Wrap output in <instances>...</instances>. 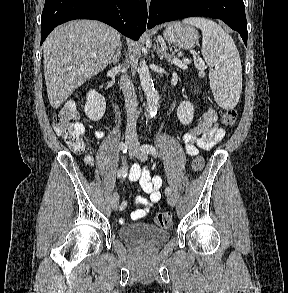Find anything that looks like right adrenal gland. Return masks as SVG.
Instances as JSON below:
<instances>
[{
    "label": "right adrenal gland",
    "mask_w": 288,
    "mask_h": 293,
    "mask_svg": "<svg viewBox=\"0 0 288 293\" xmlns=\"http://www.w3.org/2000/svg\"><path fill=\"white\" fill-rule=\"evenodd\" d=\"M121 48H122V42L119 43V46H118V49H117V52L116 54L113 56L112 60L109 62L110 64H116L119 59H120V56H121Z\"/></svg>",
    "instance_id": "2a0ac1e0"
}]
</instances>
